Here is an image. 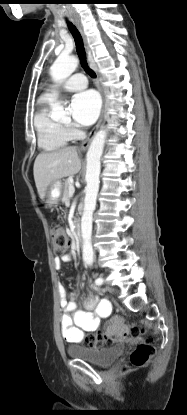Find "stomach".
<instances>
[{"mask_svg": "<svg viewBox=\"0 0 187 415\" xmlns=\"http://www.w3.org/2000/svg\"><path fill=\"white\" fill-rule=\"evenodd\" d=\"M61 193H62L61 181L57 180V181L52 182L46 190L45 200H44L45 206L47 208H52V207L57 206L60 201Z\"/></svg>", "mask_w": 187, "mask_h": 415, "instance_id": "stomach-1", "label": "stomach"}]
</instances>
